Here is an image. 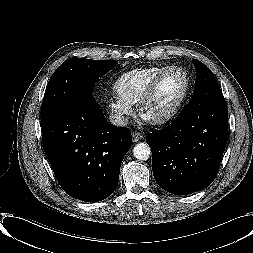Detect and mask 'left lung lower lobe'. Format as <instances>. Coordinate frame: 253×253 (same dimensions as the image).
<instances>
[{
  "label": "left lung lower lobe",
  "instance_id": "left-lung-lower-lobe-1",
  "mask_svg": "<svg viewBox=\"0 0 253 253\" xmlns=\"http://www.w3.org/2000/svg\"><path fill=\"white\" fill-rule=\"evenodd\" d=\"M227 140L224 97L205 106L187 105L173 123L146 137L157 184L175 195L206 188L217 175Z\"/></svg>",
  "mask_w": 253,
  "mask_h": 253
}]
</instances>
